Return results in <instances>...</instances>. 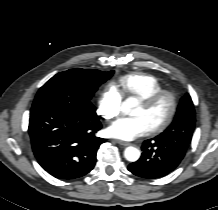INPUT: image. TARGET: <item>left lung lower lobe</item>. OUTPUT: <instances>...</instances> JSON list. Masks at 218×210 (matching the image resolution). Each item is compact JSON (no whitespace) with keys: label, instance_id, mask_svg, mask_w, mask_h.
I'll return each instance as SVG.
<instances>
[{"label":"left lung lower lobe","instance_id":"obj_1","mask_svg":"<svg viewBox=\"0 0 218 210\" xmlns=\"http://www.w3.org/2000/svg\"><path fill=\"white\" fill-rule=\"evenodd\" d=\"M188 147L184 143L177 141L170 143L158 137L145 140L140 159L131 163L128 170L143 178L163 177L180 164Z\"/></svg>","mask_w":218,"mask_h":210}]
</instances>
